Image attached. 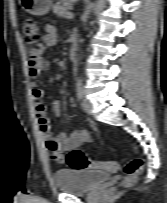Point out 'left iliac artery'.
Returning <instances> with one entry per match:
<instances>
[{"label": "left iliac artery", "instance_id": "44dca946", "mask_svg": "<svg viewBox=\"0 0 167 203\" xmlns=\"http://www.w3.org/2000/svg\"><path fill=\"white\" fill-rule=\"evenodd\" d=\"M77 94H78L79 98H82V96H83V87L81 85L80 80L78 81V84H77Z\"/></svg>", "mask_w": 167, "mask_h": 203}]
</instances>
